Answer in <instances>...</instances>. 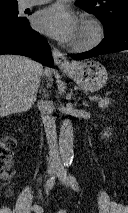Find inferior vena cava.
I'll list each match as a JSON object with an SVG mask.
<instances>
[{"label":"inferior vena cava","instance_id":"602c4592","mask_svg":"<svg viewBox=\"0 0 128 213\" xmlns=\"http://www.w3.org/2000/svg\"><path fill=\"white\" fill-rule=\"evenodd\" d=\"M45 97H48V95H45ZM39 109L41 111L49 147V165L51 167H60L61 160L58 152L55 119L51 115L53 112V103L49 100H41Z\"/></svg>","mask_w":128,"mask_h":213}]
</instances>
